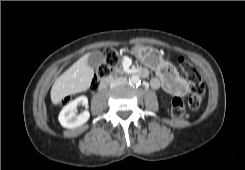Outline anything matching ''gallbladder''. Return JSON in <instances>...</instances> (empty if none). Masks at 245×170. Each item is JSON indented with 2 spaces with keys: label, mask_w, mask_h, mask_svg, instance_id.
I'll return each instance as SVG.
<instances>
[{
  "label": "gallbladder",
  "mask_w": 245,
  "mask_h": 170,
  "mask_svg": "<svg viewBox=\"0 0 245 170\" xmlns=\"http://www.w3.org/2000/svg\"><path fill=\"white\" fill-rule=\"evenodd\" d=\"M103 55L100 51H92L87 59V64L92 68H97L102 63Z\"/></svg>",
  "instance_id": "obj_1"
}]
</instances>
